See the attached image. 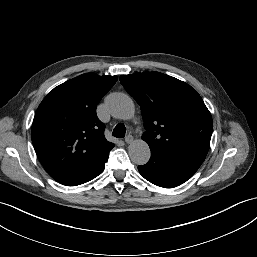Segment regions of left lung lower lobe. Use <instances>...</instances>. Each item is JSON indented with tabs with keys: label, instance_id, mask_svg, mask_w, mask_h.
Wrapping results in <instances>:
<instances>
[{
	"label": "left lung lower lobe",
	"instance_id": "0a47b994",
	"mask_svg": "<svg viewBox=\"0 0 257 257\" xmlns=\"http://www.w3.org/2000/svg\"><path fill=\"white\" fill-rule=\"evenodd\" d=\"M205 157V154L196 152L166 154L151 151L149 162L138 166V170L149 182L173 188L187 181L198 170Z\"/></svg>",
	"mask_w": 257,
	"mask_h": 257
}]
</instances>
